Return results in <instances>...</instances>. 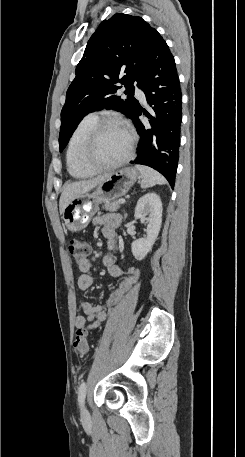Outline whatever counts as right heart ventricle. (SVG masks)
<instances>
[{
    "label": "right heart ventricle",
    "mask_w": 245,
    "mask_h": 457,
    "mask_svg": "<svg viewBox=\"0 0 245 457\" xmlns=\"http://www.w3.org/2000/svg\"><path fill=\"white\" fill-rule=\"evenodd\" d=\"M97 122L98 118L95 115L86 116L75 127L69 139L66 159L68 171L74 178H86L90 175V172L79 164L78 156L86 142L88 133Z\"/></svg>",
    "instance_id": "1"
}]
</instances>
